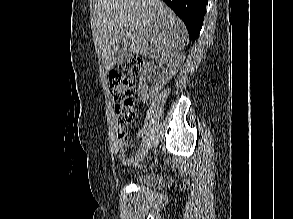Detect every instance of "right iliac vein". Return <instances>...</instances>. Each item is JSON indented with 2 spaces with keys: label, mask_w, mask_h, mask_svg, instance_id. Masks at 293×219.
<instances>
[{
  "label": "right iliac vein",
  "mask_w": 293,
  "mask_h": 219,
  "mask_svg": "<svg viewBox=\"0 0 293 219\" xmlns=\"http://www.w3.org/2000/svg\"><path fill=\"white\" fill-rule=\"evenodd\" d=\"M148 154V147L141 149L136 156V163L142 162Z\"/></svg>",
  "instance_id": "obj_1"
}]
</instances>
